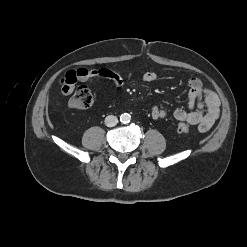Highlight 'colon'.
I'll list each match as a JSON object with an SVG mask.
<instances>
[{
	"instance_id": "1",
	"label": "colon",
	"mask_w": 247,
	"mask_h": 247,
	"mask_svg": "<svg viewBox=\"0 0 247 247\" xmlns=\"http://www.w3.org/2000/svg\"><path fill=\"white\" fill-rule=\"evenodd\" d=\"M93 104V95L86 86H79L69 100L70 107L77 109H87ZM179 133H188L190 126L187 123L181 122L177 125Z\"/></svg>"
}]
</instances>
